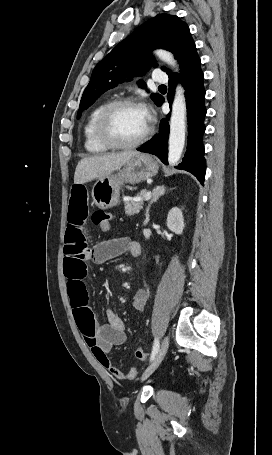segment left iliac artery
Returning <instances> with one entry per match:
<instances>
[{
    "label": "left iliac artery",
    "instance_id": "obj_1",
    "mask_svg": "<svg viewBox=\"0 0 272 455\" xmlns=\"http://www.w3.org/2000/svg\"><path fill=\"white\" fill-rule=\"evenodd\" d=\"M159 351V340L158 339H155L154 341V344H153V348H152V353H151V361L154 360L156 354L158 353Z\"/></svg>",
    "mask_w": 272,
    "mask_h": 455
}]
</instances>
